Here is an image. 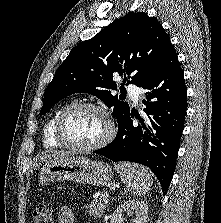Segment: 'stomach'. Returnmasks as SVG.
<instances>
[{"instance_id": "1", "label": "stomach", "mask_w": 221, "mask_h": 223, "mask_svg": "<svg viewBox=\"0 0 221 223\" xmlns=\"http://www.w3.org/2000/svg\"><path fill=\"white\" fill-rule=\"evenodd\" d=\"M112 169L101 161H93L83 156H69L47 162L38 175L41 186L56 181H74L80 184L102 186L112 179Z\"/></svg>"}]
</instances>
